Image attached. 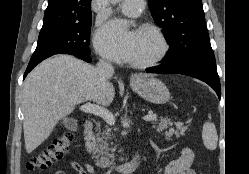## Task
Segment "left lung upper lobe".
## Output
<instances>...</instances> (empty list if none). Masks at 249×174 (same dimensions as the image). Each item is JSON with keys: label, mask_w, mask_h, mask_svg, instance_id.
<instances>
[{"label": "left lung upper lobe", "mask_w": 249, "mask_h": 174, "mask_svg": "<svg viewBox=\"0 0 249 174\" xmlns=\"http://www.w3.org/2000/svg\"><path fill=\"white\" fill-rule=\"evenodd\" d=\"M154 21L170 45L163 64L215 59L205 25L202 0H149Z\"/></svg>", "instance_id": "5c2ea615"}]
</instances>
